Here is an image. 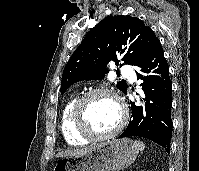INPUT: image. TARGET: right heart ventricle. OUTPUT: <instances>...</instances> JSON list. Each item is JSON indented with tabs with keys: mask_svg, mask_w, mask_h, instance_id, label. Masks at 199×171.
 <instances>
[{
	"mask_svg": "<svg viewBox=\"0 0 199 171\" xmlns=\"http://www.w3.org/2000/svg\"><path fill=\"white\" fill-rule=\"evenodd\" d=\"M77 96H72L63 106L60 116V129L65 141L72 146L83 145L87 142V138L79 135L73 126L72 110L77 100Z\"/></svg>",
	"mask_w": 199,
	"mask_h": 171,
	"instance_id": "right-heart-ventricle-1",
	"label": "right heart ventricle"
}]
</instances>
